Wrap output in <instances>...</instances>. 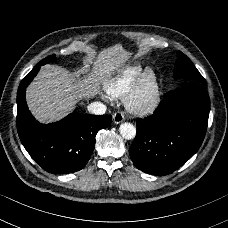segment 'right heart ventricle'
<instances>
[{"instance_id":"right-heart-ventricle-1","label":"right heart ventricle","mask_w":228,"mask_h":228,"mask_svg":"<svg viewBox=\"0 0 228 228\" xmlns=\"http://www.w3.org/2000/svg\"><path fill=\"white\" fill-rule=\"evenodd\" d=\"M147 70L141 64H130L120 70L106 85L108 98L118 99L130 93Z\"/></svg>"}]
</instances>
